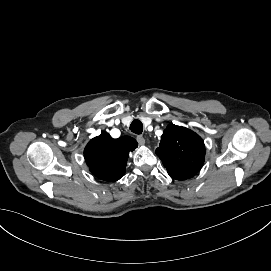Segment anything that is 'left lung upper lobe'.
Masks as SVG:
<instances>
[{"label": "left lung upper lobe", "instance_id": "1", "mask_svg": "<svg viewBox=\"0 0 271 271\" xmlns=\"http://www.w3.org/2000/svg\"><path fill=\"white\" fill-rule=\"evenodd\" d=\"M155 153L173 179L185 180L201 169L205 146L202 138L193 131L170 124L164 130Z\"/></svg>", "mask_w": 271, "mask_h": 271}]
</instances>
